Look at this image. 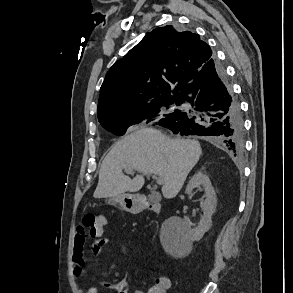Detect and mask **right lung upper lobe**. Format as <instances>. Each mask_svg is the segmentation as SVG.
<instances>
[{"mask_svg": "<svg viewBox=\"0 0 293 293\" xmlns=\"http://www.w3.org/2000/svg\"><path fill=\"white\" fill-rule=\"evenodd\" d=\"M213 58L198 34L172 25L154 29L107 72L100 88L98 118L176 100Z\"/></svg>", "mask_w": 293, "mask_h": 293, "instance_id": "1", "label": "right lung upper lobe"}]
</instances>
